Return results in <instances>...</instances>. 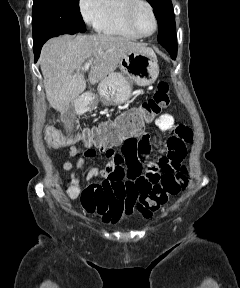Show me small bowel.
I'll use <instances>...</instances> for the list:
<instances>
[{
    "instance_id": "obj_1",
    "label": "small bowel",
    "mask_w": 240,
    "mask_h": 288,
    "mask_svg": "<svg viewBox=\"0 0 240 288\" xmlns=\"http://www.w3.org/2000/svg\"><path fill=\"white\" fill-rule=\"evenodd\" d=\"M155 124L162 132H172L165 141V153L155 162L146 163L152 146L149 136L142 131L116 141L86 144L84 147L70 146V158L78 155L82 157L76 165L71 159L63 163V169L71 172L68 197L76 199L80 196L85 211L101 216L105 223H115L123 214L130 215L141 194L148 193L164 174L174 173L179 169L186 155V144L193 140L192 130L183 124H177L170 114L158 116ZM93 146L110 161L101 169L89 167L85 173L86 180L96 177L104 180L81 189L76 172L84 166L86 159L95 156ZM117 146H121V152L115 150Z\"/></svg>"
}]
</instances>
